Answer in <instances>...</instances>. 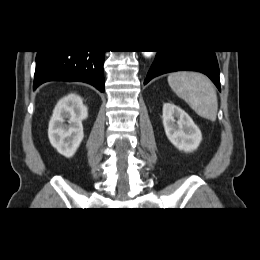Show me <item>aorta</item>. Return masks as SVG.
Listing matches in <instances>:
<instances>
[{
    "instance_id": "762f6f07",
    "label": "aorta",
    "mask_w": 260,
    "mask_h": 260,
    "mask_svg": "<svg viewBox=\"0 0 260 260\" xmlns=\"http://www.w3.org/2000/svg\"><path fill=\"white\" fill-rule=\"evenodd\" d=\"M153 51H143V55L145 56V57H151L152 55H153Z\"/></svg>"
}]
</instances>
